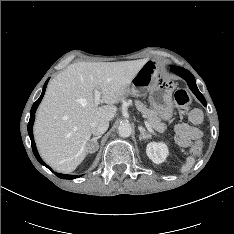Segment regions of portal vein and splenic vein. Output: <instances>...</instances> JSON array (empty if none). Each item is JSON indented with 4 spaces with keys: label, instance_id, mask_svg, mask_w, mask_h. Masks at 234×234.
I'll use <instances>...</instances> for the list:
<instances>
[{
    "label": "portal vein and splenic vein",
    "instance_id": "obj_1",
    "mask_svg": "<svg viewBox=\"0 0 234 234\" xmlns=\"http://www.w3.org/2000/svg\"><path fill=\"white\" fill-rule=\"evenodd\" d=\"M100 98H101V92L99 90H95L94 91V102H95L96 105H98L100 103V101H101ZM145 125H146L147 129L151 133L154 134V130L152 129V127L150 126V124L147 121H145Z\"/></svg>",
    "mask_w": 234,
    "mask_h": 234
}]
</instances>
